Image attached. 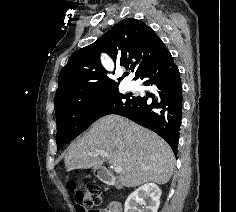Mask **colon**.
Wrapping results in <instances>:
<instances>
[{
    "label": "colon",
    "instance_id": "1",
    "mask_svg": "<svg viewBox=\"0 0 236 212\" xmlns=\"http://www.w3.org/2000/svg\"><path fill=\"white\" fill-rule=\"evenodd\" d=\"M79 212H100L97 207L101 204L100 187L93 182L69 183Z\"/></svg>",
    "mask_w": 236,
    "mask_h": 212
}]
</instances>
